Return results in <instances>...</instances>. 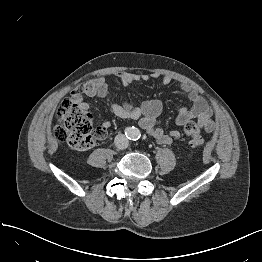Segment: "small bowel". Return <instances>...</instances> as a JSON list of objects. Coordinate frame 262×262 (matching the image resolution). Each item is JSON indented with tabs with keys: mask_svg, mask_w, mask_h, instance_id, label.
I'll return each mask as SVG.
<instances>
[{
	"mask_svg": "<svg viewBox=\"0 0 262 262\" xmlns=\"http://www.w3.org/2000/svg\"><path fill=\"white\" fill-rule=\"evenodd\" d=\"M116 77L124 87L135 82H148L155 76L150 74H137L126 71H116ZM163 86H170L174 83L171 76H164L161 79ZM180 91L185 95L190 104L179 109L176 117V125L181 126L187 121H194L206 132H213L216 129V120L209 108L206 100L186 82H180ZM74 95L77 97L86 96L89 98L101 97L110 102L113 113L123 119H140L141 126L147 133L160 144H171L179 140L181 133L178 130L165 133L162 128L156 126L163 106L159 100H147L140 105L135 106L126 101L114 102L111 98V89L106 80L102 77L91 79L80 84L74 89ZM111 127V122L106 121L97 131V138L102 140L107 135V130Z\"/></svg>",
	"mask_w": 262,
	"mask_h": 262,
	"instance_id": "obj_1",
	"label": "small bowel"
}]
</instances>
